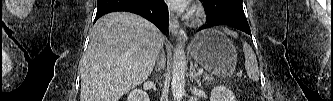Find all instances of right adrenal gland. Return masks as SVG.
<instances>
[{"instance_id": "right-adrenal-gland-1", "label": "right adrenal gland", "mask_w": 333, "mask_h": 101, "mask_svg": "<svg viewBox=\"0 0 333 101\" xmlns=\"http://www.w3.org/2000/svg\"><path fill=\"white\" fill-rule=\"evenodd\" d=\"M161 60H162V62H159L158 63V68H155V70L157 71H160V70H162L163 69V67H164V65H165V56H164V53L162 52L161 53Z\"/></svg>"}]
</instances>
